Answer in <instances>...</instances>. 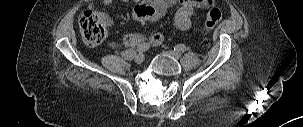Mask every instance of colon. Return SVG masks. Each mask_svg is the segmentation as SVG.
Segmentation results:
<instances>
[{"label":"colon","mask_w":303,"mask_h":127,"mask_svg":"<svg viewBox=\"0 0 303 127\" xmlns=\"http://www.w3.org/2000/svg\"><path fill=\"white\" fill-rule=\"evenodd\" d=\"M148 11V10H146ZM222 17L221 10L217 6H212L206 15L205 28L212 31L220 22ZM81 36L84 42L89 46H97L106 38V29L102 24L99 15L93 11L83 12L78 20ZM209 44V39L205 40Z\"/></svg>","instance_id":"5ec220e1"}]
</instances>
